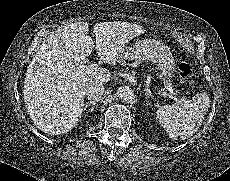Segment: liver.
Returning a JSON list of instances; mask_svg holds the SVG:
<instances>
[{
    "label": "liver",
    "instance_id": "liver-1",
    "mask_svg": "<svg viewBox=\"0 0 230 181\" xmlns=\"http://www.w3.org/2000/svg\"><path fill=\"white\" fill-rule=\"evenodd\" d=\"M123 24V23H122ZM79 22L48 36L26 72L24 102L27 113L38 129L51 135L72 130L84 111L85 90L110 81L111 71L98 68L87 74L80 66H89L88 57L96 48L100 61L108 65L120 62L124 45L144 33L140 25L119 22L97 23L93 27Z\"/></svg>",
    "mask_w": 230,
    "mask_h": 181
}]
</instances>
